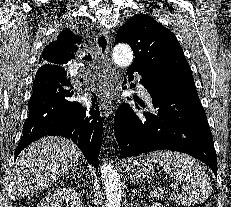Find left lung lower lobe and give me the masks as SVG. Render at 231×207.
<instances>
[{"label":"left lung lower lobe","mask_w":231,"mask_h":207,"mask_svg":"<svg viewBox=\"0 0 231 207\" xmlns=\"http://www.w3.org/2000/svg\"><path fill=\"white\" fill-rule=\"evenodd\" d=\"M138 72L152 97L155 114H136L128 104L117 110L115 137L120 158L154 150L187 153L206 163L217 175V156L205 111L195 86L169 91L167 79L157 72L128 68L129 81Z\"/></svg>","instance_id":"obj_1"}]
</instances>
